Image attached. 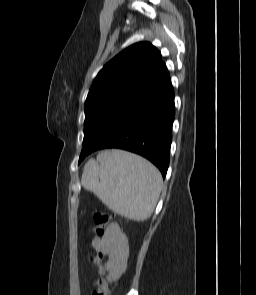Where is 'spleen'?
I'll return each mask as SVG.
<instances>
[{"label":"spleen","mask_w":256,"mask_h":295,"mask_svg":"<svg viewBox=\"0 0 256 295\" xmlns=\"http://www.w3.org/2000/svg\"><path fill=\"white\" fill-rule=\"evenodd\" d=\"M82 186L110 210L131 220L148 219L162 188L159 170L148 160L123 150H108L85 166Z\"/></svg>","instance_id":"3e777b00"}]
</instances>
